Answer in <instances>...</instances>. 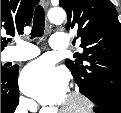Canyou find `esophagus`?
I'll list each match as a JSON object with an SVG mask.
<instances>
[{
    "instance_id": "34e87169",
    "label": "esophagus",
    "mask_w": 121,
    "mask_h": 113,
    "mask_svg": "<svg viewBox=\"0 0 121 113\" xmlns=\"http://www.w3.org/2000/svg\"><path fill=\"white\" fill-rule=\"evenodd\" d=\"M43 6L45 9H47L48 5H49V0H42Z\"/></svg>"
}]
</instances>
